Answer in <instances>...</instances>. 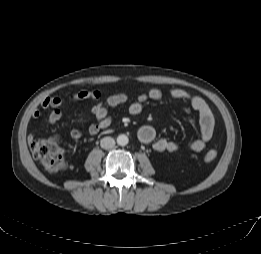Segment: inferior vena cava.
<instances>
[{"mask_svg":"<svg viewBox=\"0 0 261 254\" xmlns=\"http://www.w3.org/2000/svg\"><path fill=\"white\" fill-rule=\"evenodd\" d=\"M100 145L103 149H111L115 146V140L112 137H104Z\"/></svg>","mask_w":261,"mask_h":254,"instance_id":"inferior-vena-cava-1","label":"inferior vena cava"}]
</instances>
